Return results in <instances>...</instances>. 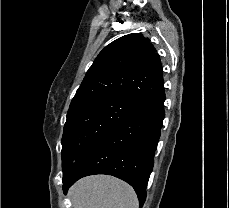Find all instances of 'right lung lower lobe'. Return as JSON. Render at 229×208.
<instances>
[{
	"label": "right lung lower lobe",
	"instance_id": "1",
	"mask_svg": "<svg viewBox=\"0 0 229 208\" xmlns=\"http://www.w3.org/2000/svg\"><path fill=\"white\" fill-rule=\"evenodd\" d=\"M164 100L165 92L91 144L63 175L64 192L84 176L113 175L134 188L142 208L165 116Z\"/></svg>",
	"mask_w": 229,
	"mask_h": 208
}]
</instances>
